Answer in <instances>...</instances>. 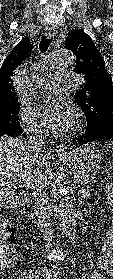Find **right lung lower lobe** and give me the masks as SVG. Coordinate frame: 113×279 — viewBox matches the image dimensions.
Here are the masks:
<instances>
[{
    "label": "right lung lower lobe",
    "instance_id": "98d812e1",
    "mask_svg": "<svg viewBox=\"0 0 113 279\" xmlns=\"http://www.w3.org/2000/svg\"><path fill=\"white\" fill-rule=\"evenodd\" d=\"M23 132V129H18V130H12V131H9L5 134L9 135V136H12V137H17L19 136L21 133Z\"/></svg>",
    "mask_w": 113,
    "mask_h": 279
}]
</instances>
